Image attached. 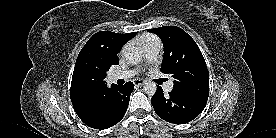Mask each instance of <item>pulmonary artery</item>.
Here are the masks:
<instances>
[{"label": "pulmonary artery", "mask_w": 276, "mask_h": 138, "mask_svg": "<svg viewBox=\"0 0 276 138\" xmlns=\"http://www.w3.org/2000/svg\"><path fill=\"white\" fill-rule=\"evenodd\" d=\"M144 54H145V58L148 61H153L157 58L160 49H161V43L160 41H155V42H150L148 44H146L144 47ZM136 74V71L134 70H128V71H121V72H115L112 73L110 78L112 81H116L119 79H128L133 77ZM173 81L168 82L165 87L164 90L166 92H170L173 89Z\"/></svg>", "instance_id": "pulmonary-artery-1"}]
</instances>
